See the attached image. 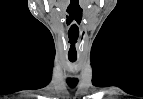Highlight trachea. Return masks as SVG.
Wrapping results in <instances>:
<instances>
[{
    "instance_id": "obj_1",
    "label": "trachea",
    "mask_w": 143,
    "mask_h": 99,
    "mask_svg": "<svg viewBox=\"0 0 143 99\" xmlns=\"http://www.w3.org/2000/svg\"><path fill=\"white\" fill-rule=\"evenodd\" d=\"M71 62H75V60H70Z\"/></svg>"
}]
</instances>
